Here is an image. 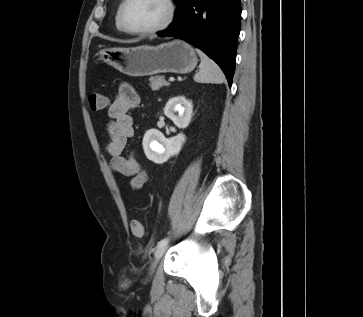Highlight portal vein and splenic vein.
Listing matches in <instances>:
<instances>
[{
    "label": "portal vein and splenic vein",
    "instance_id": "portal-vein-and-splenic-vein-1",
    "mask_svg": "<svg viewBox=\"0 0 363 317\" xmlns=\"http://www.w3.org/2000/svg\"><path fill=\"white\" fill-rule=\"evenodd\" d=\"M174 80H175V79H174V77H170V78H169V81H170V82H173Z\"/></svg>",
    "mask_w": 363,
    "mask_h": 317
}]
</instances>
